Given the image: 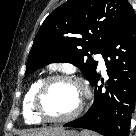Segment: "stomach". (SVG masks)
I'll return each mask as SVG.
<instances>
[{
	"label": "stomach",
	"instance_id": "1",
	"mask_svg": "<svg viewBox=\"0 0 136 136\" xmlns=\"http://www.w3.org/2000/svg\"><path fill=\"white\" fill-rule=\"evenodd\" d=\"M52 136H81V135L74 130H64L63 129L62 131H59L58 133Z\"/></svg>",
	"mask_w": 136,
	"mask_h": 136
}]
</instances>
